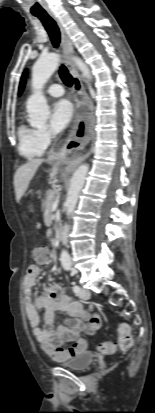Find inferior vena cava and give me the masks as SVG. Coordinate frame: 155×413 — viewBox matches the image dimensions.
Masks as SVG:
<instances>
[{
  "mask_svg": "<svg viewBox=\"0 0 155 413\" xmlns=\"http://www.w3.org/2000/svg\"><path fill=\"white\" fill-rule=\"evenodd\" d=\"M68 231H69L68 225H64L63 230H62V241L64 244L67 243Z\"/></svg>",
  "mask_w": 155,
  "mask_h": 413,
  "instance_id": "1",
  "label": "inferior vena cava"
}]
</instances>
